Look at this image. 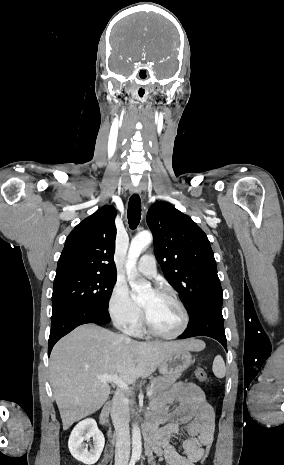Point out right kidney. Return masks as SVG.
Listing matches in <instances>:
<instances>
[{
	"label": "right kidney",
	"mask_w": 284,
	"mask_h": 465,
	"mask_svg": "<svg viewBox=\"0 0 284 465\" xmlns=\"http://www.w3.org/2000/svg\"><path fill=\"white\" fill-rule=\"evenodd\" d=\"M93 437V447L88 451L84 449L83 441H89ZM105 445L103 433L99 431L96 421L94 419H85L80 421L74 427L68 441L69 451L77 461H81L84 465H94L97 463Z\"/></svg>",
	"instance_id": "ca27d5eb"
}]
</instances>
